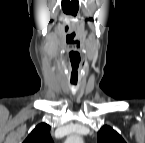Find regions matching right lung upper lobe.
<instances>
[{
  "instance_id": "obj_1",
  "label": "right lung upper lobe",
  "mask_w": 145,
  "mask_h": 143,
  "mask_svg": "<svg viewBox=\"0 0 145 143\" xmlns=\"http://www.w3.org/2000/svg\"><path fill=\"white\" fill-rule=\"evenodd\" d=\"M24 143H53L50 136V126L46 123H41L25 139Z\"/></svg>"
}]
</instances>
